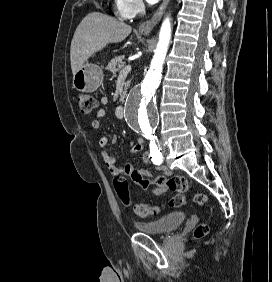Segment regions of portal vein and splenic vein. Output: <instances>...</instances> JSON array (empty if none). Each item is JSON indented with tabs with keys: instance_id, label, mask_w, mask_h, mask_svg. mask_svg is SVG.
I'll use <instances>...</instances> for the list:
<instances>
[{
	"instance_id": "18ae733b",
	"label": "portal vein and splenic vein",
	"mask_w": 272,
	"mask_h": 282,
	"mask_svg": "<svg viewBox=\"0 0 272 282\" xmlns=\"http://www.w3.org/2000/svg\"><path fill=\"white\" fill-rule=\"evenodd\" d=\"M130 71H131V65H127L124 69L120 71V75H126Z\"/></svg>"
}]
</instances>
